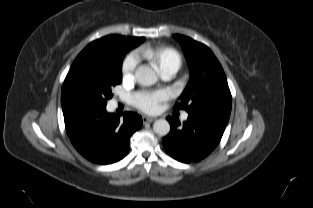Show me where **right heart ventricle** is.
I'll return each instance as SVG.
<instances>
[{"instance_id":"right-heart-ventricle-1","label":"right heart ventricle","mask_w":313,"mask_h":208,"mask_svg":"<svg viewBox=\"0 0 313 208\" xmlns=\"http://www.w3.org/2000/svg\"><path fill=\"white\" fill-rule=\"evenodd\" d=\"M139 54L153 63L161 73L170 69L177 71L182 64L180 54L170 47L144 46L140 48Z\"/></svg>"}]
</instances>
